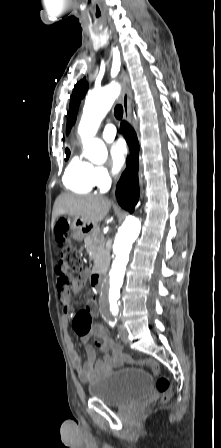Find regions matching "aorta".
Returning <instances> with one entry per match:
<instances>
[{
    "label": "aorta",
    "mask_w": 221,
    "mask_h": 448,
    "mask_svg": "<svg viewBox=\"0 0 221 448\" xmlns=\"http://www.w3.org/2000/svg\"><path fill=\"white\" fill-rule=\"evenodd\" d=\"M119 92L120 86L118 84H110L99 91L90 93L86 98L78 133L82 139L83 154L92 163L102 164L107 160L108 152L105 144L94 136ZM140 229L141 222L137 217H127L114 239L113 252L116 257L110 270L109 282L104 290L109 310L113 314L118 312L120 289L123 284L129 253L133 241L140 233Z\"/></svg>",
    "instance_id": "aorta-1"
}]
</instances>
